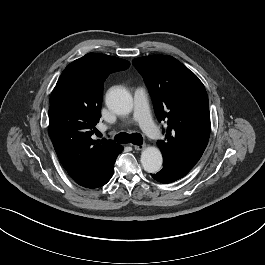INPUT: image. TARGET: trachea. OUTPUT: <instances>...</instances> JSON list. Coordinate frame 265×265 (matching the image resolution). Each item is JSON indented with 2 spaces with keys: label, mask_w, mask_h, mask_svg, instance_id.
<instances>
[{
  "label": "trachea",
  "mask_w": 265,
  "mask_h": 265,
  "mask_svg": "<svg viewBox=\"0 0 265 265\" xmlns=\"http://www.w3.org/2000/svg\"><path fill=\"white\" fill-rule=\"evenodd\" d=\"M114 139L119 143H133L135 145H141L143 143V138L138 133L127 134V133H120L114 137Z\"/></svg>",
  "instance_id": "obj_1"
}]
</instances>
